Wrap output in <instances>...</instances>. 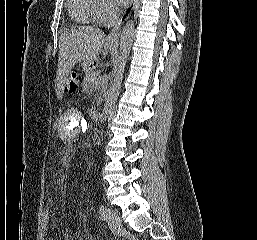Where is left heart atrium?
<instances>
[{
	"mask_svg": "<svg viewBox=\"0 0 257 240\" xmlns=\"http://www.w3.org/2000/svg\"><path fill=\"white\" fill-rule=\"evenodd\" d=\"M115 2V4L119 5V6H124L126 5L130 0H113Z\"/></svg>",
	"mask_w": 257,
	"mask_h": 240,
	"instance_id": "1",
	"label": "left heart atrium"
}]
</instances>
